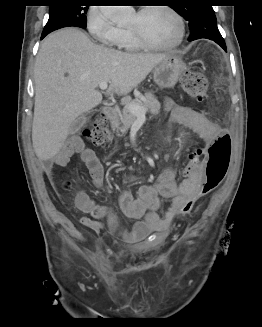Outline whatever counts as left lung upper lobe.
Returning a JSON list of instances; mask_svg holds the SVG:
<instances>
[{
    "mask_svg": "<svg viewBox=\"0 0 262 327\" xmlns=\"http://www.w3.org/2000/svg\"><path fill=\"white\" fill-rule=\"evenodd\" d=\"M199 4L187 6L173 5L174 10L185 20L189 21L190 31L212 28L216 25V16L211 5L206 0L197 1Z\"/></svg>",
    "mask_w": 262,
    "mask_h": 327,
    "instance_id": "1",
    "label": "left lung upper lobe"
}]
</instances>
